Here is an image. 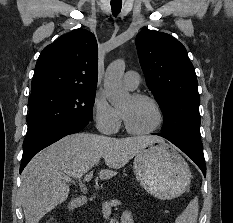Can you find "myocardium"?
<instances>
[{
    "label": "myocardium",
    "instance_id": "myocardium-1",
    "mask_svg": "<svg viewBox=\"0 0 233 223\" xmlns=\"http://www.w3.org/2000/svg\"><path fill=\"white\" fill-rule=\"evenodd\" d=\"M131 98L135 100H146L152 103L158 113L159 121H158L157 126L153 128L152 130L146 131V132H137V131H134L129 126L125 116L121 113V118H122L126 132L135 137H145V136H149V135L159 132L162 129L164 122H165V114H164L163 108L161 107L160 103L154 97L149 96L147 94L135 93L131 95Z\"/></svg>",
    "mask_w": 233,
    "mask_h": 223
}]
</instances>
